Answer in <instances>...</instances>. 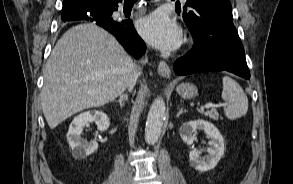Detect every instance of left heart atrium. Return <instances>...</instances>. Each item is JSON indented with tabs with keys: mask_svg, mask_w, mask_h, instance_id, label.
<instances>
[{
	"mask_svg": "<svg viewBox=\"0 0 293 184\" xmlns=\"http://www.w3.org/2000/svg\"><path fill=\"white\" fill-rule=\"evenodd\" d=\"M138 30L148 43L161 50H173L181 42L179 26L162 12H154L142 18Z\"/></svg>",
	"mask_w": 293,
	"mask_h": 184,
	"instance_id": "obj_1",
	"label": "left heart atrium"
}]
</instances>
